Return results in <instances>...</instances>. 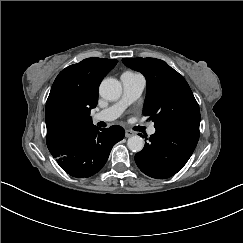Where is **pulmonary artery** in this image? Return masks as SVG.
Listing matches in <instances>:
<instances>
[{
  "mask_svg": "<svg viewBox=\"0 0 243 243\" xmlns=\"http://www.w3.org/2000/svg\"><path fill=\"white\" fill-rule=\"evenodd\" d=\"M140 76V79L121 77L123 94L120 100L112 106L92 115V120L94 122H110L119 117L127 105L136 101L141 96L146 82L144 77L142 75ZM155 132L156 128L154 124L150 125L148 134L152 136Z\"/></svg>",
  "mask_w": 243,
  "mask_h": 243,
  "instance_id": "1",
  "label": "pulmonary artery"
}]
</instances>
